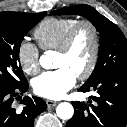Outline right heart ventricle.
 <instances>
[{"label": "right heart ventricle", "instance_id": "1", "mask_svg": "<svg viewBox=\"0 0 127 127\" xmlns=\"http://www.w3.org/2000/svg\"><path fill=\"white\" fill-rule=\"evenodd\" d=\"M78 22V19L71 17L44 19L34 30V37L42 50H56L66 34Z\"/></svg>", "mask_w": 127, "mask_h": 127}]
</instances>
